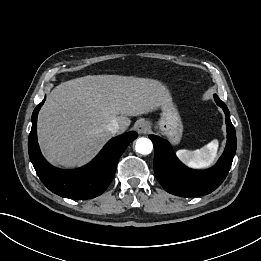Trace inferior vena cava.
<instances>
[{"label":"inferior vena cava","instance_id":"obj_1","mask_svg":"<svg viewBox=\"0 0 261 261\" xmlns=\"http://www.w3.org/2000/svg\"><path fill=\"white\" fill-rule=\"evenodd\" d=\"M107 130L112 133V134H115L117 133L121 127L118 123V121L115 119V120H112L108 125H107Z\"/></svg>","mask_w":261,"mask_h":261}]
</instances>
